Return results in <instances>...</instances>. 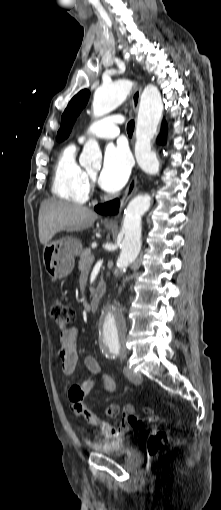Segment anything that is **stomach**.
Segmentation results:
<instances>
[{
    "label": "stomach",
    "instance_id": "0dacf381",
    "mask_svg": "<svg viewBox=\"0 0 221 510\" xmlns=\"http://www.w3.org/2000/svg\"><path fill=\"white\" fill-rule=\"evenodd\" d=\"M106 228L112 229L108 225ZM81 250L80 240L73 237H65L44 245L43 263L51 279L55 281L67 277L74 268V257Z\"/></svg>",
    "mask_w": 221,
    "mask_h": 510
}]
</instances>
